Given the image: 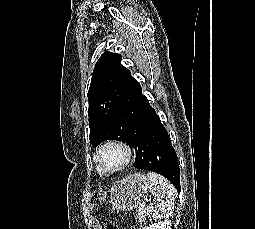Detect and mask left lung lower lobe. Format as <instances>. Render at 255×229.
<instances>
[{"mask_svg": "<svg viewBox=\"0 0 255 229\" xmlns=\"http://www.w3.org/2000/svg\"><path fill=\"white\" fill-rule=\"evenodd\" d=\"M117 117L122 118L123 131L131 138V145L136 150L133 166L163 175L180 192V169L176 152L167 130L142 94L137 80L134 79Z\"/></svg>", "mask_w": 255, "mask_h": 229, "instance_id": "left-lung-lower-lobe-1", "label": "left lung lower lobe"}]
</instances>
